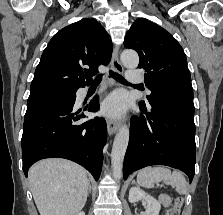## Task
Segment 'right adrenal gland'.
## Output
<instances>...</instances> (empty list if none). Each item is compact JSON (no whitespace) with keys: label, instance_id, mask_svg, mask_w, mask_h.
I'll list each match as a JSON object with an SVG mask.
<instances>
[{"label":"right adrenal gland","instance_id":"right-adrenal-gland-1","mask_svg":"<svg viewBox=\"0 0 223 215\" xmlns=\"http://www.w3.org/2000/svg\"><path fill=\"white\" fill-rule=\"evenodd\" d=\"M88 193H91V183L89 181V189H88Z\"/></svg>","mask_w":223,"mask_h":215}]
</instances>
